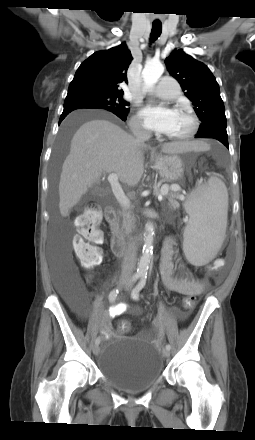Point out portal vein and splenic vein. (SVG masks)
I'll use <instances>...</instances> for the list:
<instances>
[{"label": "portal vein and splenic vein", "instance_id": "18ae733b", "mask_svg": "<svg viewBox=\"0 0 255 440\" xmlns=\"http://www.w3.org/2000/svg\"><path fill=\"white\" fill-rule=\"evenodd\" d=\"M108 182L110 183L112 192H113L114 196L116 197L117 201L120 203V205L125 208H129L130 201L122 190V187L118 181V176L115 173H110L108 175ZM173 189L178 190L179 187L176 186ZM164 194H166V191L162 192V195H164ZM161 198H162V196H160V199Z\"/></svg>", "mask_w": 255, "mask_h": 440}]
</instances>
